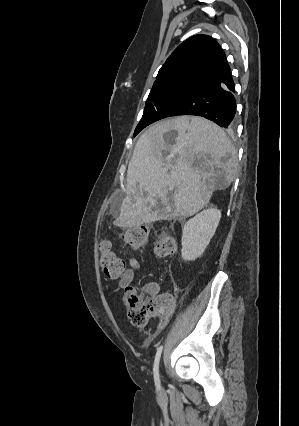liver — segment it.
Listing matches in <instances>:
<instances>
[{"instance_id":"obj_1","label":"liver","mask_w":299,"mask_h":426,"mask_svg":"<svg viewBox=\"0 0 299 426\" xmlns=\"http://www.w3.org/2000/svg\"><path fill=\"white\" fill-rule=\"evenodd\" d=\"M172 130L177 136L168 141L164 134ZM235 156L224 130L208 119L178 116L154 124L136 142L114 224L135 228L196 214L235 179Z\"/></svg>"}]
</instances>
